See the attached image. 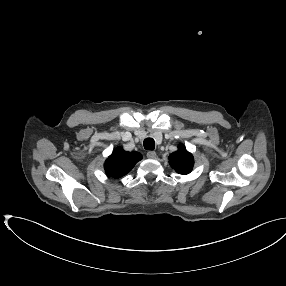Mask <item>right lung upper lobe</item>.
<instances>
[{
	"label": "right lung upper lobe",
	"instance_id": "obj_1",
	"mask_svg": "<svg viewBox=\"0 0 286 286\" xmlns=\"http://www.w3.org/2000/svg\"><path fill=\"white\" fill-rule=\"evenodd\" d=\"M141 159L142 155L136 151L128 152L122 148H117L106 160L104 164L105 172L113 178L122 177L131 171Z\"/></svg>",
	"mask_w": 286,
	"mask_h": 286
}]
</instances>
